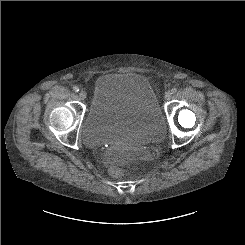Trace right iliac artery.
Returning a JSON list of instances; mask_svg holds the SVG:
<instances>
[{
  "label": "right iliac artery",
  "instance_id": "obj_1",
  "mask_svg": "<svg viewBox=\"0 0 245 245\" xmlns=\"http://www.w3.org/2000/svg\"><path fill=\"white\" fill-rule=\"evenodd\" d=\"M73 90H74L75 92H78V91H79V87H78V86H74V87H73Z\"/></svg>",
  "mask_w": 245,
  "mask_h": 245
}]
</instances>
